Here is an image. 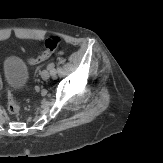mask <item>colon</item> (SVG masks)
<instances>
[{
	"label": "colon",
	"mask_w": 163,
	"mask_h": 163,
	"mask_svg": "<svg viewBox=\"0 0 163 163\" xmlns=\"http://www.w3.org/2000/svg\"><path fill=\"white\" fill-rule=\"evenodd\" d=\"M60 42H61L60 38L56 36L47 37L44 42L45 50L43 51V53L36 58H29L28 63L30 65H36L47 60L59 47ZM7 109L11 114H17L20 111V105L15 96L13 95V93L11 92H8L7 95Z\"/></svg>",
	"instance_id": "obj_1"
}]
</instances>
